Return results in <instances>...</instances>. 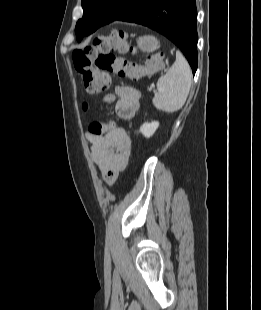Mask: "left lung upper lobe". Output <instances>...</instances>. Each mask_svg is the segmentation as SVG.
<instances>
[{
  "label": "left lung upper lobe",
  "mask_w": 261,
  "mask_h": 310,
  "mask_svg": "<svg viewBox=\"0 0 261 310\" xmlns=\"http://www.w3.org/2000/svg\"><path fill=\"white\" fill-rule=\"evenodd\" d=\"M128 2L129 0H82L83 17L76 24V36L91 22L110 23L125 10Z\"/></svg>",
  "instance_id": "obj_1"
}]
</instances>
